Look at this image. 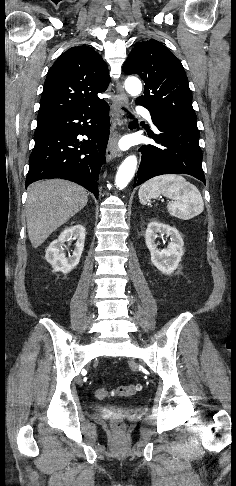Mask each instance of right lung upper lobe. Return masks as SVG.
I'll list each match as a JSON object with an SVG mask.
<instances>
[{
  "mask_svg": "<svg viewBox=\"0 0 236 486\" xmlns=\"http://www.w3.org/2000/svg\"><path fill=\"white\" fill-rule=\"evenodd\" d=\"M109 85L106 63L89 46L64 52L47 74L38 119L105 102L97 94Z\"/></svg>",
  "mask_w": 236,
  "mask_h": 486,
  "instance_id": "1",
  "label": "right lung upper lobe"
}]
</instances>
